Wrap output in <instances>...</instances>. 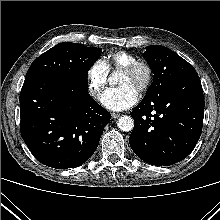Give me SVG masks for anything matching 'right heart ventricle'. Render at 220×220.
I'll use <instances>...</instances> for the list:
<instances>
[{"label":"right heart ventricle","instance_id":"e07e8e85","mask_svg":"<svg viewBox=\"0 0 220 220\" xmlns=\"http://www.w3.org/2000/svg\"><path fill=\"white\" fill-rule=\"evenodd\" d=\"M137 57L126 51H115L106 57V64L109 69H123L125 66L137 61Z\"/></svg>","mask_w":220,"mask_h":220}]
</instances>
